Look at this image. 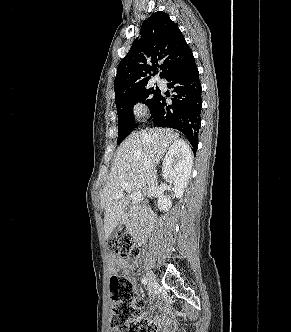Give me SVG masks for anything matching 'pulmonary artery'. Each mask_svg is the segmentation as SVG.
<instances>
[{"instance_id":"obj_1","label":"pulmonary artery","mask_w":291,"mask_h":332,"mask_svg":"<svg viewBox=\"0 0 291 332\" xmlns=\"http://www.w3.org/2000/svg\"><path fill=\"white\" fill-rule=\"evenodd\" d=\"M162 83H163L162 81H160V80L158 81V84H159V85H162Z\"/></svg>"}]
</instances>
